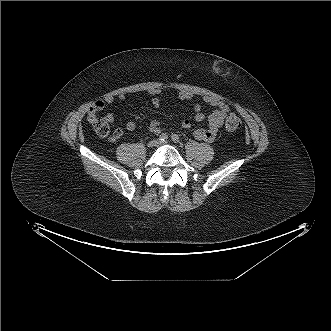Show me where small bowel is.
<instances>
[{
    "mask_svg": "<svg viewBox=\"0 0 331 331\" xmlns=\"http://www.w3.org/2000/svg\"><path fill=\"white\" fill-rule=\"evenodd\" d=\"M148 94L152 96L151 104L158 108L161 106V98L164 96V92L159 88H150L148 90ZM177 97L180 100L186 101L193 98V94L188 90H179L177 91ZM126 98L125 93H120L117 96L114 95H107L103 99L98 100L90 109V114H96L97 112L101 111L106 104H112L116 99L124 100ZM202 103L212 106L214 111L205 116L202 112V105L197 103L194 105L195 116L194 120L197 123L203 122L205 119L208 121V127L206 129L199 128L194 131V138L196 140L205 141V142H213L217 136V133L220 127L224 123V119L226 115L230 112L228 104L217 97L206 95L202 97ZM104 120L107 123H112L114 121V115L112 113H107L104 117ZM182 127L190 128L191 123L188 120H184L181 123ZM126 128L128 131H134L136 129V124L133 121H130L126 124ZM149 131L154 134H160L164 131V127L162 123L158 120H154L149 125ZM118 134L116 135L119 138L122 134L121 130H116Z\"/></svg>",
    "mask_w": 331,
    "mask_h": 331,
    "instance_id": "c3829d8e",
    "label": "small bowel"
}]
</instances>
